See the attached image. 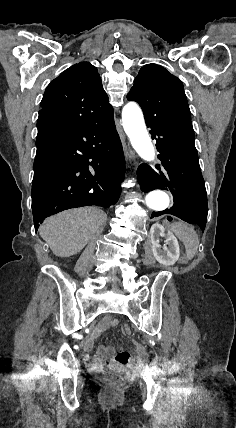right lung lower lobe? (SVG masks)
<instances>
[{
  "instance_id": "1",
  "label": "right lung lower lobe",
  "mask_w": 236,
  "mask_h": 428,
  "mask_svg": "<svg viewBox=\"0 0 236 428\" xmlns=\"http://www.w3.org/2000/svg\"><path fill=\"white\" fill-rule=\"evenodd\" d=\"M36 146L31 193L35 231L60 211L117 203L125 160L113 113L38 139Z\"/></svg>"
}]
</instances>
